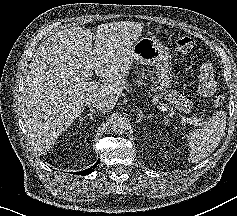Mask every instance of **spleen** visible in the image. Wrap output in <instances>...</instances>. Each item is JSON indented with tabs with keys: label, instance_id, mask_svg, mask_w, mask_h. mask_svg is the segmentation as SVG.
<instances>
[{
	"label": "spleen",
	"instance_id": "obj_1",
	"mask_svg": "<svg viewBox=\"0 0 237 216\" xmlns=\"http://www.w3.org/2000/svg\"><path fill=\"white\" fill-rule=\"evenodd\" d=\"M188 140L193 154H201L208 148L216 145V130L211 128L208 124H204L201 128L194 130L188 136Z\"/></svg>",
	"mask_w": 237,
	"mask_h": 216
}]
</instances>
